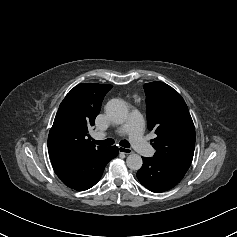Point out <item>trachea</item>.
I'll list each match as a JSON object with an SVG mask.
<instances>
[{
  "instance_id": "1",
  "label": "trachea",
  "mask_w": 237,
  "mask_h": 237,
  "mask_svg": "<svg viewBox=\"0 0 237 237\" xmlns=\"http://www.w3.org/2000/svg\"><path fill=\"white\" fill-rule=\"evenodd\" d=\"M94 143L97 144V145H101V146H110V145L114 144V140L111 139V138H108V139H105V140H94ZM120 145L122 147H125V148H129L130 147L129 142L126 141V140L120 141Z\"/></svg>"
}]
</instances>
